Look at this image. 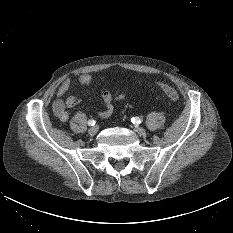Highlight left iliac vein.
<instances>
[{
    "label": "left iliac vein",
    "mask_w": 233,
    "mask_h": 233,
    "mask_svg": "<svg viewBox=\"0 0 233 233\" xmlns=\"http://www.w3.org/2000/svg\"><path fill=\"white\" fill-rule=\"evenodd\" d=\"M133 130L137 133V134H139L140 136H143V135H145L146 134V130L144 129V128H142V127H133Z\"/></svg>",
    "instance_id": "obj_1"
}]
</instances>
